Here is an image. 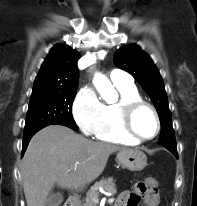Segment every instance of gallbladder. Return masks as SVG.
<instances>
[{
	"mask_svg": "<svg viewBox=\"0 0 197 206\" xmlns=\"http://www.w3.org/2000/svg\"><path fill=\"white\" fill-rule=\"evenodd\" d=\"M63 199V195L53 189L47 197L45 206H59Z\"/></svg>",
	"mask_w": 197,
	"mask_h": 206,
	"instance_id": "gallbladder-1",
	"label": "gallbladder"
}]
</instances>
